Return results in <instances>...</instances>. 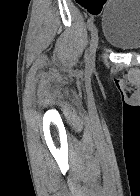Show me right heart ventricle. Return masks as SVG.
I'll list each match as a JSON object with an SVG mask.
<instances>
[{"instance_id":"e07e8e85","label":"right heart ventricle","mask_w":140,"mask_h":196,"mask_svg":"<svg viewBox=\"0 0 140 196\" xmlns=\"http://www.w3.org/2000/svg\"><path fill=\"white\" fill-rule=\"evenodd\" d=\"M58 192H66V191H58ZM79 192H107V191H79Z\"/></svg>"}]
</instances>
